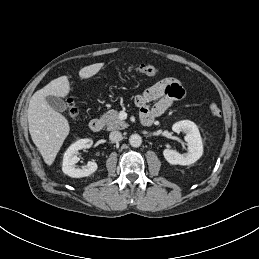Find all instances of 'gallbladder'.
I'll return each instance as SVG.
<instances>
[{"instance_id": "1", "label": "gallbladder", "mask_w": 259, "mask_h": 259, "mask_svg": "<svg viewBox=\"0 0 259 259\" xmlns=\"http://www.w3.org/2000/svg\"><path fill=\"white\" fill-rule=\"evenodd\" d=\"M46 101L51 108L58 112H65L67 110L66 103L59 97L47 96Z\"/></svg>"}]
</instances>
